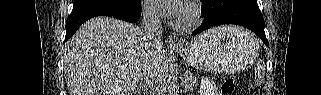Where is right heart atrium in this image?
<instances>
[{
  "instance_id": "d8ad5b80",
  "label": "right heart atrium",
  "mask_w": 321,
  "mask_h": 95,
  "mask_svg": "<svg viewBox=\"0 0 321 95\" xmlns=\"http://www.w3.org/2000/svg\"><path fill=\"white\" fill-rule=\"evenodd\" d=\"M144 13H145V16L147 17V18H149V19H155L156 18V12H155V10L152 8V7H150V6H146L145 8H144Z\"/></svg>"
}]
</instances>
